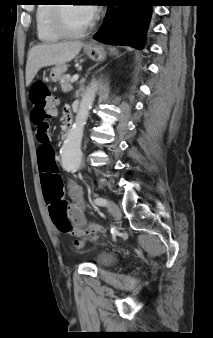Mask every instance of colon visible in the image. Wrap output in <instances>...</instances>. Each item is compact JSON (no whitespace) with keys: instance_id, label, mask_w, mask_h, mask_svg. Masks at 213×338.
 <instances>
[{"instance_id":"colon-1","label":"colon","mask_w":213,"mask_h":338,"mask_svg":"<svg viewBox=\"0 0 213 338\" xmlns=\"http://www.w3.org/2000/svg\"><path fill=\"white\" fill-rule=\"evenodd\" d=\"M29 99L31 102V120L36 126V138L42 145H47L52 139V132L46 123V120L53 117L56 113L58 105L52 97L49 86L44 81L35 82L29 92ZM41 153L48 158L55 153L49 147L42 146ZM51 217L53 221L62 226L66 222L67 205L63 202H57L51 207ZM85 240L78 239L74 243V248L79 249L83 246Z\"/></svg>"}]
</instances>
